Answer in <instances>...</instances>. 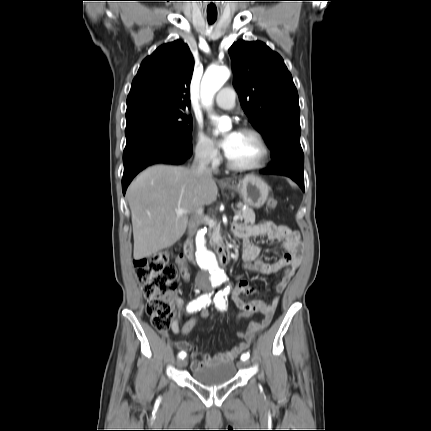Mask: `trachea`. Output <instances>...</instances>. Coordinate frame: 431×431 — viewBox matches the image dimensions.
Returning a JSON list of instances; mask_svg holds the SVG:
<instances>
[{"mask_svg":"<svg viewBox=\"0 0 431 431\" xmlns=\"http://www.w3.org/2000/svg\"><path fill=\"white\" fill-rule=\"evenodd\" d=\"M207 19H208V22L210 24H212V23H214L216 21V17H207Z\"/></svg>","mask_w":431,"mask_h":431,"instance_id":"1","label":"trachea"}]
</instances>
